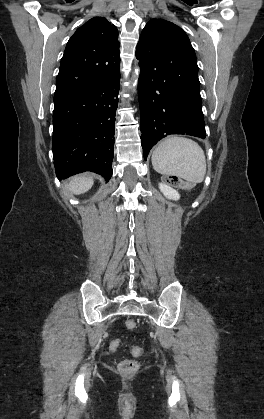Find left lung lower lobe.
I'll return each instance as SVG.
<instances>
[{
    "instance_id": "1",
    "label": "left lung lower lobe",
    "mask_w": 264,
    "mask_h": 419,
    "mask_svg": "<svg viewBox=\"0 0 264 419\" xmlns=\"http://www.w3.org/2000/svg\"><path fill=\"white\" fill-rule=\"evenodd\" d=\"M162 52L161 43L136 52L141 66L138 97L145 160L150 149L167 135L206 137L199 80L166 74L161 65Z\"/></svg>"
}]
</instances>
